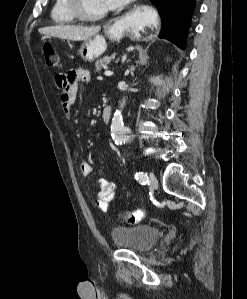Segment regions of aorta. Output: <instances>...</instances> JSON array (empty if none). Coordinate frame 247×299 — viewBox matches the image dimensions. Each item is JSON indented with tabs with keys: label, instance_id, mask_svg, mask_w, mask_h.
<instances>
[{
	"label": "aorta",
	"instance_id": "762f6f07",
	"mask_svg": "<svg viewBox=\"0 0 247 299\" xmlns=\"http://www.w3.org/2000/svg\"><path fill=\"white\" fill-rule=\"evenodd\" d=\"M126 100L125 98L122 100L120 104V108L125 106ZM130 130L126 126H124L123 116L120 110H116L111 122V134L113 139L117 145L125 143L129 139Z\"/></svg>",
	"mask_w": 247,
	"mask_h": 299
}]
</instances>
